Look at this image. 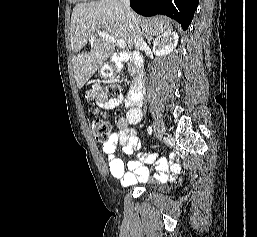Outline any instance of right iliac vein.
I'll return each instance as SVG.
<instances>
[{
  "label": "right iliac vein",
  "mask_w": 257,
  "mask_h": 237,
  "mask_svg": "<svg viewBox=\"0 0 257 237\" xmlns=\"http://www.w3.org/2000/svg\"><path fill=\"white\" fill-rule=\"evenodd\" d=\"M154 131L157 139L161 140L164 135V127L159 118L155 119L154 121Z\"/></svg>",
  "instance_id": "obj_1"
}]
</instances>
